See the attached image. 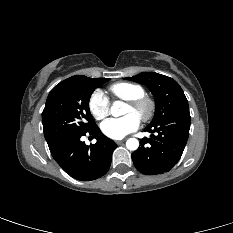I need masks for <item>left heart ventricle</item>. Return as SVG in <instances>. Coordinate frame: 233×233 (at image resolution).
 Returning <instances> with one entry per match:
<instances>
[{"instance_id": "obj_1", "label": "left heart ventricle", "mask_w": 233, "mask_h": 233, "mask_svg": "<svg viewBox=\"0 0 233 233\" xmlns=\"http://www.w3.org/2000/svg\"><path fill=\"white\" fill-rule=\"evenodd\" d=\"M143 111H144V109L135 111V110L131 109L128 105H125L123 114H125V115H127V114H134V115H136L139 118L140 114Z\"/></svg>"}]
</instances>
